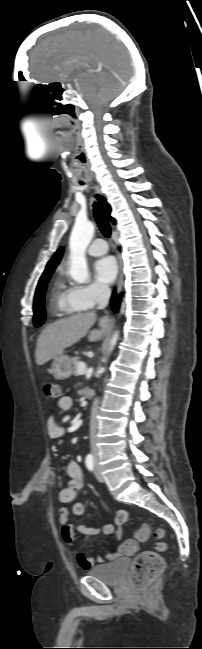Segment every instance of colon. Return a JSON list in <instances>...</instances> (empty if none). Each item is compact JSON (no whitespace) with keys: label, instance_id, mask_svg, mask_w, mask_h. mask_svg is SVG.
<instances>
[{"label":"colon","instance_id":"colon-1","mask_svg":"<svg viewBox=\"0 0 202 649\" xmlns=\"http://www.w3.org/2000/svg\"><path fill=\"white\" fill-rule=\"evenodd\" d=\"M43 391L48 398H59L61 387L58 383L48 382L44 385ZM155 535L159 541L155 544L157 551H163L166 543L162 541L164 532L161 529H154L149 523H141L135 531L134 538L122 545L124 554H131L135 551L138 542L146 541L151 535ZM164 569L162 557L154 551H144L136 556L133 561L130 579L137 589L146 588Z\"/></svg>","mask_w":202,"mask_h":649}]
</instances>
